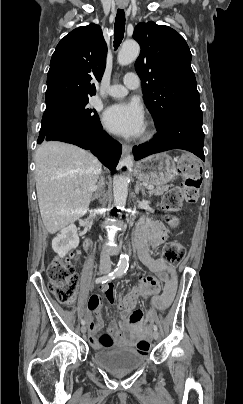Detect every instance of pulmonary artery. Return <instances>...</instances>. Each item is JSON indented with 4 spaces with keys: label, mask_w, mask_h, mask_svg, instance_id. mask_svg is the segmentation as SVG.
Instances as JSON below:
<instances>
[{
    "label": "pulmonary artery",
    "mask_w": 243,
    "mask_h": 404,
    "mask_svg": "<svg viewBox=\"0 0 243 404\" xmlns=\"http://www.w3.org/2000/svg\"><path fill=\"white\" fill-rule=\"evenodd\" d=\"M121 61H126L122 55L119 56ZM140 85V78L135 73H126L123 77L122 83L111 85L107 93L112 97H122L127 93L128 89H136Z\"/></svg>",
    "instance_id": "obj_1"
}]
</instances>
